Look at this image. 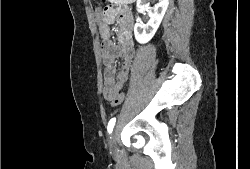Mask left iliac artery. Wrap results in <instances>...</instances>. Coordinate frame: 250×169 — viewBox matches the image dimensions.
Returning a JSON list of instances; mask_svg holds the SVG:
<instances>
[{
    "mask_svg": "<svg viewBox=\"0 0 250 169\" xmlns=\"http://www.w3.org/2000/svg\"><path fill=\"white\" fill-rule=\"evenodd\" d=\"M115 122H116V118H112L109 123H108V126H107V130H108V133H112L113 131V128L115 126Z\"/></svg>",
    "mask_w": 250,
    "mask_h": 169,
    "instance_id": "left-iliac-artery-1",
    "label": "left iliac artery"
}]
</instances>
